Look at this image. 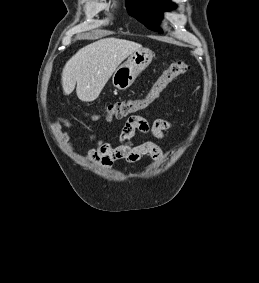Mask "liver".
<instances>
[{
  "mask_svg": "<svg viewBox=\"0 0 259 283\" xmlns=\"http://www.w3.org/2000/svg\"><path fill=\"white\" fill-rule=\"evenodd\" d=\"M141 48L138 43L117 38L100 39L83 47L63 68L65 95L72 93L77 84L76 94L81 101L96 100L118 66Z\"/></svg>",
  "mask_w": 259,
  "mask_h": 283,
  "instance_id": "1",
  "label": "liver"
}]
</instances>
